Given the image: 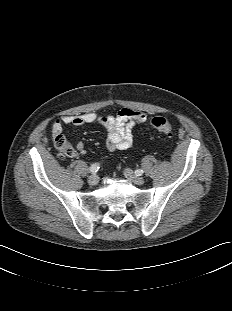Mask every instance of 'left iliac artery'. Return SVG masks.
Returning a JSON list of instances; mask_svg holds the SVG:
<instances>
[{"label": "left iliac artery", "instance_id": "obj_1", "mask_svg": "<svg viewBox=\"0 0 232 311\" xmlns=\"http://www.w3.org/2000/svg\"><path fill=\"white\" fill-rule=\"evenodd\" d=\"M135 174H136L137 176H141V175L143 174V170L138 169V170L135 171Z\"/></svg>", "mask_w": 232, "mask_h": 311}]
</instances>
